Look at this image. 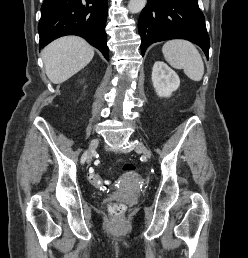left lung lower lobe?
Returning a JSON list of instances; mask_svg holds the SVG:
<instances>
[{
	"mask_svg": "<svg viewBox=\"0 0 248 258\" xmlns=\"http://www.w3.org/2000/svg\"><path fill=\"white\" fill-rule=\"evenodd\" d=\"M138 30L142 56L152 43L177 38L197 44L209 56L210 41L198 0H148Z\"/></svg>",
	"mask_w": 248,
	"mask_h": 258,
	"instance_id": "left-lung-lower-lobe-1",
	"label": "left lung lower lobe"
}]
</instances>
